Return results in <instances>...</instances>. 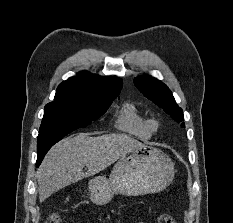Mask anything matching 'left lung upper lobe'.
I'll use <instances>...</instances> for the list:
<instances>
[{
    "label": "left lung upper lobe",
    "mask_w": 233,
    "mask_h": 223,
    "mask_svg": "<svg viewBox=\"0 0 233 223\" xmlns=\"http://www.w3.org/2000/svg\"><path fill=\"white\" fill-rule=\"evenodd\" d=\"M134 84L145 97L161 107L174 120H183V111L178 107L172 92L165 84L149 76L136 77ZM184 126L185 124L182 123L181 127Z\"/></svg>",
    "instance_id": "5c2ea615"
}]
</instances>
